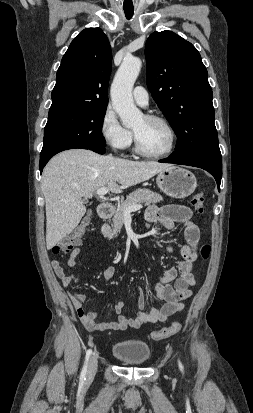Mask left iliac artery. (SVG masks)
<instances>
[{"label": "left iliac artery", "instance_id": "1", "mask_svg": "<svg viewBox=\"0 0 253 413\" xmlns=\"http://www.w3.org/2000/svg\"><path fill=\"white\" fill-rule=\"evenodd\" d=\"M178 365H179V368H180L181 372H184V368H183V365L180 362V360H178Z\"/></svg>", "mask_w": 253, "mask_h": 413}]
</instances>
